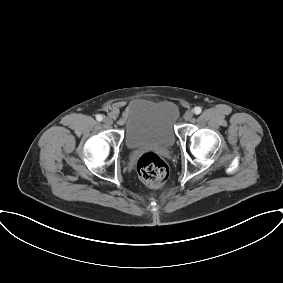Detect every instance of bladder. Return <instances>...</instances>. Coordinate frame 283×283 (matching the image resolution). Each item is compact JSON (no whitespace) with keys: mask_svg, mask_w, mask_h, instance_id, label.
I'll list each match as a JSON object with an SVG mask.
<instances>
[{"mask_svg":"<svg viewBox=\"0 0 283 283\" xmlns=\"http://www.w3.org/2000/svg\"><path fill=\"white\" fill-rule=\"evenodd\" d=\"M179 117L172 101H134L128 109L124 140L129 149L146 146L170 148L176 141L175 124Z\"/></svg>","mask_w":283,"mask_h":283,"instance_id":"31cf9c89","label":"bladder"}]
</instances>
